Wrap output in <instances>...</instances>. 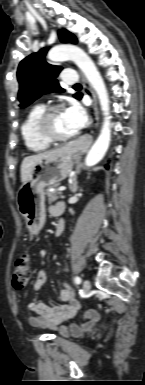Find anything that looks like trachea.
<instances>
[{
	"mask_svg": "<svg viewBox=\"0 0 145 385\" xmlns=\"http://www.w3.org/2000/svg\"><path fill=\"white\" fill-rule=\"evenodd\" d=\"M74 87H81V85L80 84H75Z\"/></svg>",
	"mask_w": 145,
	"mask_h": 385,
	"instance_id": "3493384b",
	"label": "trachea"
}]
</instances>
